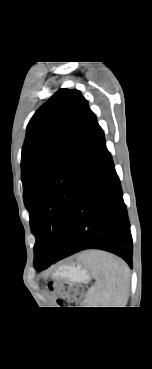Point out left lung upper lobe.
<instances>
[{"label":"left lung upper lobe","mask_w":152,"mask_h":369,"mask_svg":"<svg viewBox=\"0 0 152 369\" xmlns=\"http://www.w3.org/2000/svg\"><path fill=\"white\" fill-rule=\"evenodd\" d=\"M98 122L81 92L58 90L33 115L22 148L21 179L34 267L58 253Z\"/></svg>","instance_id":"obj_1"}]
</instances>
